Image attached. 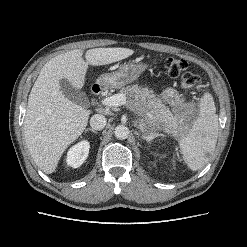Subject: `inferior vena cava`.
Listing matches in <instances>:
<instances>
[{
  "label": "inferior vena cava",
  "instance_id": "1",
  "mask_svg": "<svg viewBox=\"0 0 247 247\" xmlns=\"http://www.w3.org/2000/svg\"><path fill=\"white\" fill-rule=\"evenodd\" d=\"M107 123L105 116L101 114H95L90 119V126L94 130H102Z\"/></svg>",
  "mask_w": 247,
  "mask_h": 247
}]
</instances>
